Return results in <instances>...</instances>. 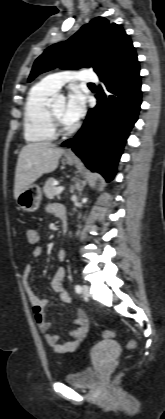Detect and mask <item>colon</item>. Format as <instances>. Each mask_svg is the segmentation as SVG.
<instances>
[{"label":"colon","instance_id":"5ec220e1","mask_svg":"<svg viewBox=\"0 0 165 419\" xmlns=\"http://www.w3.org/2000/svg\"><path fill=\"white\" fill-rule=\"evenodd\" d=\"M31 236L34 238V234H33V233L31 234ZM113 335H114V333H113L112 331H109V330H106V331H104V332L102 333V337H103V338H105V339H107V338H112V337H113ZM127 347H128V349H130V350H135V349L137 348V344H136V342H135V341L130 340V341L127 343Z\"/></svg>","mask_w":165,"mask_h":419}]
</instances>
